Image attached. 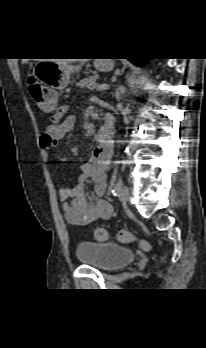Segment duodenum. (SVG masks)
Instances as JSON below:
<instances>
[{
    "label": "duodenum",
    "mask_w": 206,
    "mask_h": 348,
    "mask_svg": "<svg viewBox=\"0 0 206 348\" xmlns=\"http://www.w3.org/2000/svg\"><path fill=\"white\" fill-rule=\"evenodd\" d=\"M115 134V126L113 123V117L108 116L107 123L101 127L95 134V140L100 147H106L112 149L111 140Z\"/></svg>",
    "instance_id": "1"
}]
</instances>
